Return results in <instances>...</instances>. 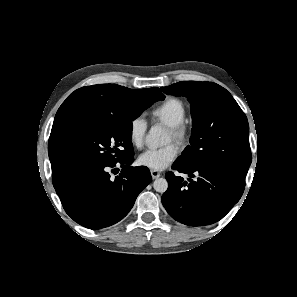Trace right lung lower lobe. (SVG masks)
<instances>
[{"label":"right lung lower lobe","instance_id":"1","mask_svg":"<svg viewBox=\"0 0 297 297\" xmlns=\"http://www.w3.org/2000/svg\"><path fill=\"white\" fill-rule=\"evenodd\" d=\"M133 155L105 163H88L65 171L53 186L66 213L78 224L101 229L123 219L139 193L151 182L147 167H131ZM121 172L117 174L116 167Z\"/></svg>","mask_w":297,"mask_h":297}]
</instances>
